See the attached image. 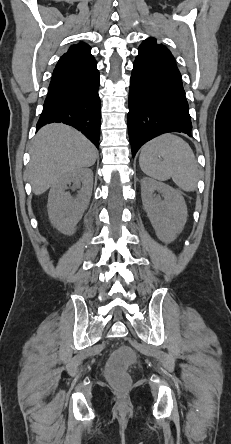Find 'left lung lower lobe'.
I'll return each instance as SVG.
<instances>
[{"label":"left lung lower lobe","instance_id":"obj_1","mask_svg":"<svg viewBox=\"0 0 231 444\" xmlns=\"http://www.w3.org/2000/svg\"><path fill=\"white\" fill-rule=\"evenodd\" d=\"M128 132L135 156L147 141L167 132L191 136V118L175 59L139 50L132 70L128 100Z\"/></svg>","mask_w":231,"mask_h":444}]
</instances>
